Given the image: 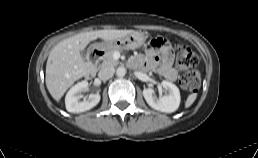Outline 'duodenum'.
I'll return each instance as SVG.
<instances>
[{
  "label": "duodenum",
  "mask_w": 258,
  "mask_h": 158,
  "mask_svg": "<svg viewBox=\"0 0 258 158\" xmlns=\"http://www.w3.org/2000/svg\"><path fill=\"white\" fill-rule=\"evenodd\" d=\"M103 54H104L103 46H97L90 51L89 57H88L89 66H90L89 72H88L89 78H92L95 75L96 65L101 59V57L103 56Z\"/></svg>",
  "instance_id": "410a0bca"
}]
</instances>
